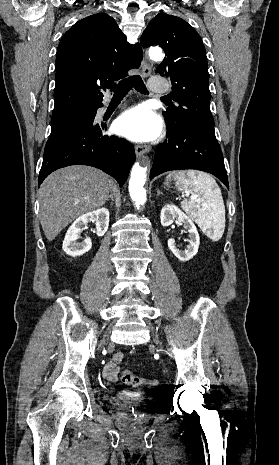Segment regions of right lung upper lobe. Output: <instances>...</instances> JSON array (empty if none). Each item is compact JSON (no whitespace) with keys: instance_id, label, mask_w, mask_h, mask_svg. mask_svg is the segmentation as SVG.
<instances>
[{"instance_id":"right-lung-upper-lobe-1","label":"right lung upper lobe","mask_w":279,"mask_h":465,"mask_svg":"<svg viewBox=\"0 0 279 465\" xmlns=\"http://www.w3.org/2000/svg\"><path fill=\"white\" fill-rule=\"evenodd\" d=\"M142 60L115 20L105 13L88 16L62 37L55 64V105L51 126L70 121L101 104L102 91L126 77Z\"/></svg>"}]
</instances>
